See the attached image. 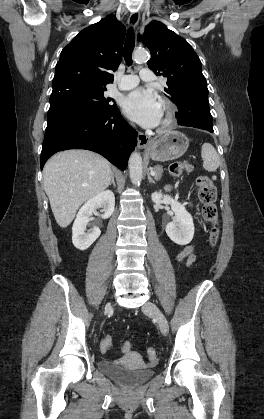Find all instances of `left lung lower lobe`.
Segmentation results:
<instances>
[{
  "mask_svg": "<svg viewBox=\"0 0 264 419\" xmlns=\"http://www.w3.org/2000/svg\"><path fill=\"white\" fill-rule=\"evenodd\" d=\"M178 124L213 132L212 116L208 98H200L196 102L186 103L178 109Z\"/></svg>",
  "mask_w": 264,
  "mask_h": 419,
  "instance_id": "left-lung-lower-lobe-1",
  "label": "left lung lower lobe"
}]
</instances>
